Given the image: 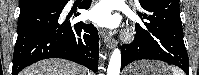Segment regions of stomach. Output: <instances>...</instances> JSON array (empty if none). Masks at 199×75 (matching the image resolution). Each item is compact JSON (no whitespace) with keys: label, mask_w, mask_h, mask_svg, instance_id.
<instances>
[{"label":"stomach","mask_w":199,"mask_h":75,"mask_svg":"<svg viewBox=\"0 0 199 75\" xmlns=\"http://www.w3.org/2000/svg\"><path fill=\"white\" fill-rule=\"evenodd\" d=\"M167 66L161 62L140 61L127 67L125 75H165Z\"/></svg>","instance_id":"0dacf381"}]
</instances>
